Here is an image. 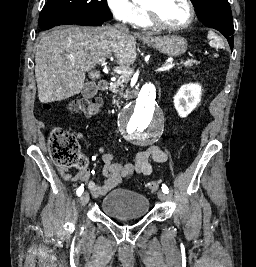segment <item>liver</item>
<instances>
[{
  "instance_id": "obj_1",
  "label": "liver",
  "mask_w": 256,
  "mask_h": 267,
  "mask_svg": "<svg viewBox=\"0 0 256 267\" xmlns=\"http://www.w3.org/2000/svg\"><path fill=\"white\" fill-rule=\"evenodd\" d=\"M151 36V32H147ZM135 36L113 26H59L42 36L35 54L39 102H60L80 94L85 80H99L94 70L101 60L115 56L118 66L129 68L137 58Z\"/></svg>"
}]
</instances>
